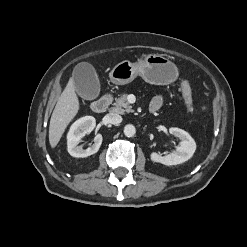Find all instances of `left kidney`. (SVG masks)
I'll return each instance as SVG.
<instances>
[{
  "instance_id": "left-kidney-1",
  "label": "left kidney",
  "mask_w": 247,
  "mask_h": 247,
  "mask_svg": "<svg viewBox=\"0 0 247 247\" xmlns=\"http://www.w3.org/2000/svg\"><path fill=\"white\" fill-rule=\"evenodd\" d=\"M169 133L181 141L180 146H178L171 154L166 156H161L156 152H152L150 155L151 160L167 166L177 165L188 161L196 150L194 139L189 133L180 128L172 127L169 129Z\"/></svg>"
}]
</instances>
